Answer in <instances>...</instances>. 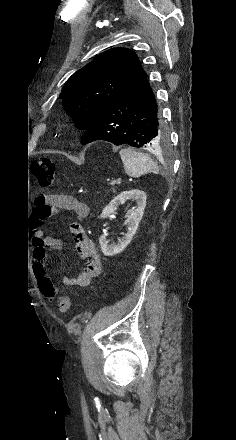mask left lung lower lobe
<instances>
[{
  "instance_id": "obj_1",
  "label": "left lung lower lobe",
  "mask_w": 236,
  "mask_h": 440,
  "mask_svg": "<svg viewBox=\"0 0 236 440\" xmlns=\"http://www.w3.org/2000/svg\"><path fill=\"white\" fill-rule=\"evenodd\" d=\"M167 139L155 95L145 74L113 100L85 130L81 143L96 140L155 148Z\"/></svg>"
}]
</instances>
